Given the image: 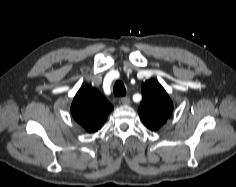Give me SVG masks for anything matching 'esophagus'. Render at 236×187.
Instances as JSON below:
<instances>
[{
	"label": "esophagus",
	"mask_w": 236,
	"mask_h": 187,
	"mask_svg": "<svg viewBox=\"0 0 236 187\" xmlns=\"http://www.w3.org/2000/svg\"><path fill=\"white\" fill-rule=\"evenodd\" d=\"M130 98L129 97H122L121 98V103L123 104V105H129L130 104Z\"/></svg>",
	"instance_id": "34e87169"
}]
</instances>
